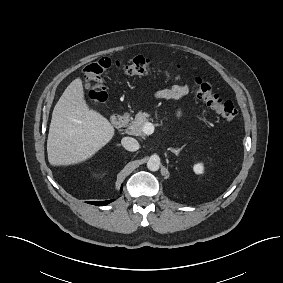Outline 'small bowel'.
I'll return each instance as SVG.
<instances>
[{
	"mask_svg": "<svg viewBox=\"0 0 283 283\" xmlns=\"http://www.w3.org/2000/svg\"><path fill=\"white\" fill-rule=\"evenodd\" d=\"M189 89L187 86L184 85H173L169 88H164L157 90L154 93V97L156 99H165V100H170V99H179L182 97H185L188 95ZM181 112H177V116H180Z\"/></svg>",
	"mask_w": 283,
	"mask_h": 283,
	"instance_id": "obj_1",
	"label": "small bowel"
}]
</instances>
